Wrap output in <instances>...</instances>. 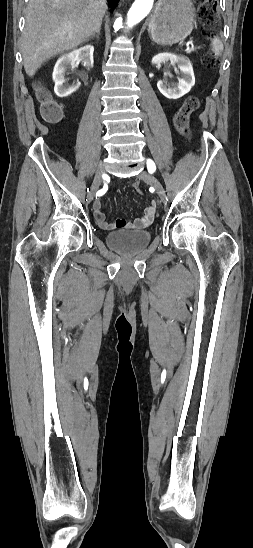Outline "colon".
I'll list each match as a JSON object with an SVG mask.
<instances>
[{"mask_svg":"<svg viewBox=\"0 0 253 548\" xmlns=\"http://www.w3.org/2000/svg\"><path fill=\"white\" fill-rule=\"evenodd\" d=\"M199 3V16L211 31L212 25L216 21L217 17V0H198ZM212 32H210V35ZM203 63L207 67H215L218 64V59L214 54H208L204 57ZM38 98L42 105V116L49 121H56L61 116L60 106L53 100L50 93L43 87L38 88ZM199 101L195 96L188 97L181 108L177 111L174 118L176 128L182 132L187 133L189 130V118L197 110ZM134 188L137 193H142V188L139 182L134 184Z\"/></svg>","mask_w":253,"mask_h":548,"instance_id":"5ec220e1","label":"colon"}]
</instances>
